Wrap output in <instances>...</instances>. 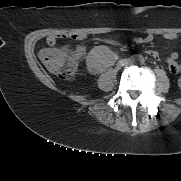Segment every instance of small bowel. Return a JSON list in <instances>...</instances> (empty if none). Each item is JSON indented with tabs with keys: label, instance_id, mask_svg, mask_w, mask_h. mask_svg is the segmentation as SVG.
Wrapping results in <instances>:
<instances>
[{
	"label": "small bowel",
	"instance_id": "small-bowel-1",
	"mask_svg": "<svg viewBox=\"0 0 181 181\" xmlns=\"http://www.w3.org/2000/svg\"><path fill=\"white\" fill-rule=\"evenodd\" d=\"M178 34L174 32H167L162 35V37L166 40H175L178 38ZM58 38H70L74 40H83L86 38V35L84 34H73V33H65L62 35H49L46 39V42L49 46H55L57 43ZM154 40V36L152 34H147L145 36L141 37H135L133 39L134 43L136 44H149ZM73 53L77 56V58L81 57L84 53V48L83 47H77ZM146 54L150 56L151 58L158 60L159 59V54L158 52L154 50H147ZM178 54L177 53H172L168 58H167V64L169 66V70L172 74H179L181 72V64L178 63L177 61ZM90 70L94 71L95 67L90 66Z\"/></svg>",
	"mask_w": 181,
	"mask_h": 181
}]
</instances>
